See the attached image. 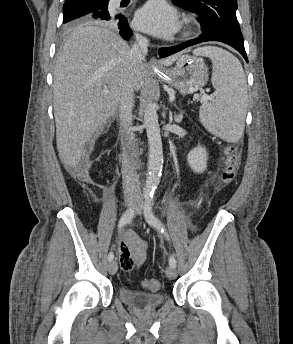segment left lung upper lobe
Masks as SVG:
<instances>
[{
    "mask_svg": "<svg viewBox=\"0 0 293 344\" xmlns=\"http://www.w3.org/2000/svg\"><path fill=\"white\" fill-rule=\"evenodd\" d=\"M173 4L195 12L204 32L225 35L244 43L236 17V0H172Z\"/></svg>",
    "mask_w": 293,
    "mask_h": 344,
    "instance_id": "5c2ea615",
    "label": "left lung upper lobe"
}]
</instances>
